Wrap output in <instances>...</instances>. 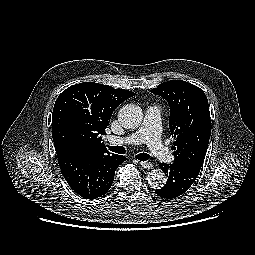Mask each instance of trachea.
Here are the masks:
<instances>
[{
  "label": "trachea",
  "mask_w": 255,
  "mask_h": 255,
  "mask_svg": "<svg viewBox=\"0 0 255 255\" xmlns=\"http://www.w3.org/2000/svg\"><path fill=\"white\" fill-rule=\"evenodd\" d=\"M109 150L118 153L125 154L126 149L123 146H108ZM140 161H147L150 158V155L147 153H139L135 156Z\"/></svg>",
  "instance_id": "trachea-1"
}]
</instances>
